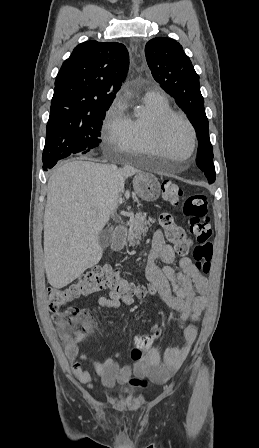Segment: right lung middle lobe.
<instances>
[{
	"label": "right lung middle lobe",
	"mask_w": 259,
	"mask_h": 448,
	"mask_svg": "<svg viewBox=\"0 0 259 448\" xmlns=\"http://www.w3.org/2000/svg\"><path fill=\"white\" fill-rule=\"evenodd\" d=\"M108 109L97 107L78 113H50L43 164L85 154L98 146L102 120Z\"/></svg>",
	"instance_id": "right-lung-middle-lobe-1"
}]
</instances>
